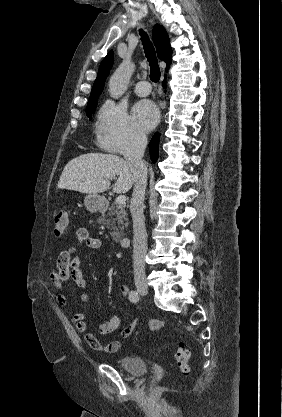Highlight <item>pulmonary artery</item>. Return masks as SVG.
I'll return each mask as SVG.
<instances>
[{"instance_id": "pulmonary-artery-1", "label": "pulmonary artery", "mask_w": 282, "mask_h": 417, "mask_svg": "<svg viewBox=\"0 0 282 417\" xmlns=\"http://www.w3.org/2000/svg\"><path fill=\"white\" fill-rule=\"evenodd\" d=\"M134 91L138 96L144 97L150 93L151 86L147 81H140L136 84Z\"/></svg>"}]
</instances>
